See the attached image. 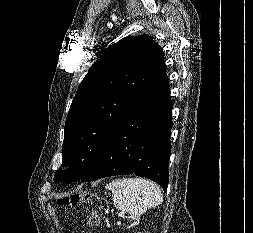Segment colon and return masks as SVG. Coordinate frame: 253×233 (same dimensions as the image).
Instances as JSON below:
<instances>
[{
    "label": "colon",
    "mask_w": 253,
    "mask_h": 233,
    "mask_svg": "<svg viewBox=\"0 0 253 233\" xmlns=\"http://www.w3.org/2000/svg\"><path fill=\"white\" fill-rule=\"evenodd\" d=\"M93 195L91 193H75L67 196L58 197L55 199V203L62 208L71 209L77 204L85 201H92ZM98 217L95 212H92L87 217L86 227L81 233H90L93 227L97 224Z\"/></svg>",
    "instance_id": "obj_1"
}]
</instances>
